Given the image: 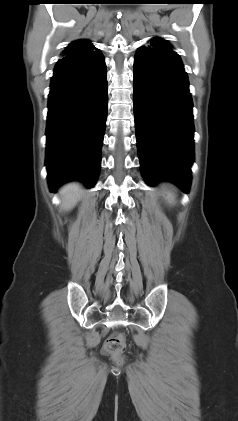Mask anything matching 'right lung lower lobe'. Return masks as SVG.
Returning <instances> with one entry per match:
<instances>
[{
  "instance_id": "98d812e1",
  "label": "right lung lower lobe",
  "mask_w": 238,
  "mask_h": 421,
  "mask_svg": "<svg viewBox=\"0 0 238 421\" xmlns=\"http://www.w3.org/2000/svg\"><path fill=\"white\" fill-rule=\"evenodd\" d=\"M107 103L101 53L65 56L57 62L46 127L45 164L52 192L71 180L94 186L100 171Z\"/></svg>"
}]
</instances>
